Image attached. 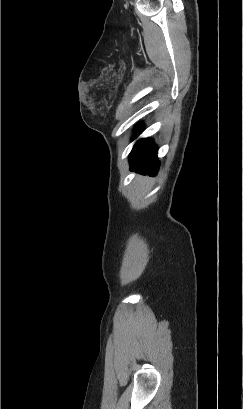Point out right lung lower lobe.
<instances>
[{"mask_svg": "<svg viewBox=\"0 0 243 409\" xmlns=\"http://www.w3.org/2000/svg\"><path fill=\"white\" fill-rule=\"evenodd\" d=\"M158 148L151 139L139 140L133 147L129 159L132 170L155 175L159 168Z\"/></svg>", "mask_w": 243, "mask_h": 409, "instance_id": "1", "label": "right lung lower lobe"}]
</instances>
